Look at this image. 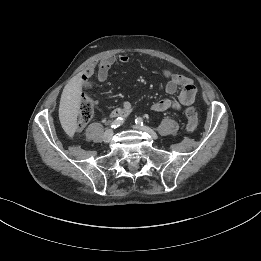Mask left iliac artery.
Here are the masks:
<instances>
[{"mask_svg":"<svg viewBox=\"0 0 261 261\" xmlns=\"http://www.w3.org/2000/svg\"><path fill=\"white\" fill-rule=\"evenodd\" d=\"M135 123H136L137 125H141V126H143V124H144L143 119H142L141 117H137V118L135 119Z\"/></svg>","mask_w":261,"mask_h":261,"instance_id":"1","label":"left iliac artery"}]
</instances>
